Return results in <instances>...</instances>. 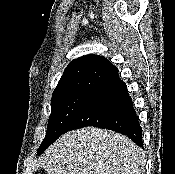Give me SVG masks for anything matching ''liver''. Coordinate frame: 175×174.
<instances>
[{
  "label": "liver",
  "mask_w": 175,
  "mask_h": 174,
  "mask_svg": "<svg viewBox=\"0 0 175 174\" xmlns=\"http://www.w3.org/2000/svg\"><path fill=\"white\" fill-rule=\"evenodd\" d=\"M41 165L49 174H140L146 160L128 137L107 129L86 127L57 139Z\"/></svg>",
  "instance_id": "6515ba94"
}]
</instances>
